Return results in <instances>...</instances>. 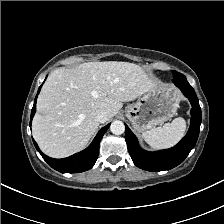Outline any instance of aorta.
<instances>
[{
	"label": "aorta",
	"mask_w": 224,
	"mask_h": 224,
	"mask_svg": "<svg viewBox=\"0 0 224 224\" xmlns=\"http://www.w3.org/2000/svg\"><path fill=\"white\" fill-rule=\"evenodd\" d=\"M110 130L115 135L123 134L125 131L124 123L120 120H115L112 122Z\"/></svg>",
	"instance_id": "1"
}]
</instances>
